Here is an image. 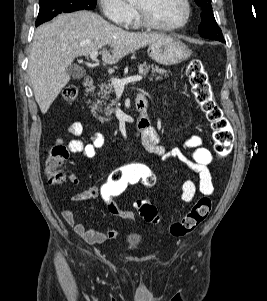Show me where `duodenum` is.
Here are the masks:
<instances>
[{
  "label": "duodenum",
  "mask_w": 267,
  "mask_h": 301,
  "mask_svg": "<svg viewBox=\"0 0 267 301\" xmlns=\"http://www.w3.org/2000/svg\"><path fill=\"white\" fill-rule=\"evenodd\" d=\"M83 87L87 93H91L94 88L93 81L86 79L83 82ZM148 99L145 94H138L135 100V108L137 111L136 128L142 131L150 127V118L147 113Z\"/></svg>",
  "instance_id": "obj_1"
}]
</instances>
